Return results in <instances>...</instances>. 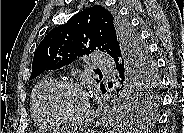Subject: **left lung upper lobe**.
<instances>
[{
    "label": "left lung upper lobe",
    "instance_id": "obj_1",
    "mask_svg": "<svg viewBox=\"0 0 184 133\" xmlns=\"http://www.w3.org/2000/svg\"><path fill=\"white\" fill-rule=\"evenodd\" d=\"M96 50L110 55L119 69L118 113L151 115L159 101L160 79L155 62L129 23L102 6L84 9L48 32L35 50L29 79ZM100 86L101 91L106 90L103 84Z\"/></svg>",
    "mask_w": 184,
    "mask_h": 133
}]
</instances>
